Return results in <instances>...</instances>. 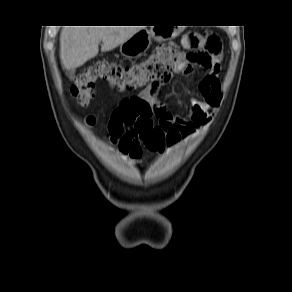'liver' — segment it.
I'll list each match as a JSON object with an SVG mask.
<instances>
[{"label": "liver", "instance_id": "obj_1", "mask_svg": "<svg viewBox=\"0 0 292 292\" xmlns=\"http://www.w3.org/2000/svg\"><path fill=\"white\" fill-rule=\"evenodd\" d=\"M141 30L137 26H65L60 34V58L67 70L82 66L99 52L122 45Z\"/></svg>", "mask_w": 292, "mask_h": 292}]
</instances>
